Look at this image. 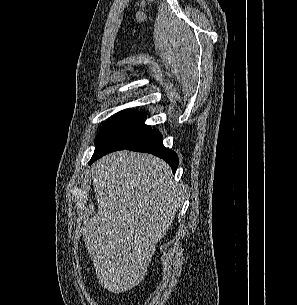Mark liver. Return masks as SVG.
Returning a JSON list of instances; mask_svg holds the SVG:
<instances>
[{
  "instance_id": "6515ba94",
  "label": "liver",
  "mask_w": 297,
  "mask_h": 305,
  "mask_svg": "<svg viewBox=\"0 0 297 305\" xmlns=\"http://www.w3.org/2000/svg\"><path fill=\"white\" fill-rule=\"evenodd\" d=\"M92 178L98 212L84 224V242L99 284L123 293L144 279L181 192L166 162L126 150L99 159Z\"/></svg>"
}]
</instances>
